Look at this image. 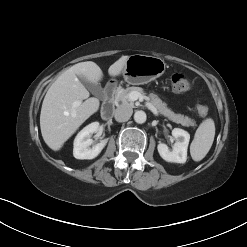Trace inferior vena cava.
Wrapping results in <instances>:
<instances>
[{"mask_svg":"<svg viewBox=\"0 0 247 247\" xmlns=\"http://www.w3.org/2000/svg\"><path fill=\"white\" fill-rule=\"evenodd\" d=\"M133 113V109L130 106L122 105L115 110V119L118 122H125L129 120Z\"/></svg>","mask_w":247,"mask_h":247,"instance_id":"obj_1","label":"inferior vena cava"}]
</instances>
